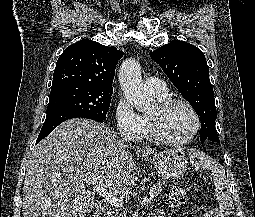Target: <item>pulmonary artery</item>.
I'll use <instances>...</instances> for the list:
<instances>
[{
    "mask_svg": "<svg viewBox=\"0 0 255 217\" xmlns=\"http://www.w3.org/2000/svg\"><path fill=\"white\" fill-rule=\"evenodd\" d=\"M145 89L154 95H166L167 86L164 80L158 77H148L145 80Z\"/></svg>",
    "mask_w": 255,
    "mask_h": 217,
    "instance_id": "obj_1",
    "label": "pulmonary artery"
}]
</instances>
